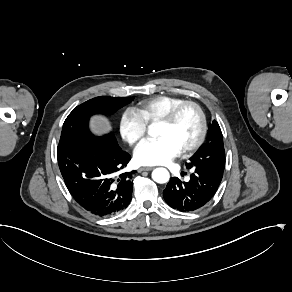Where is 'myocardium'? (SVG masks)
Here are the masks:
<instances>
[{"label":"myocardium","instance_id":"1","mask_svg":"<svg viewBox=\"0 0 292 292\" xmlns=\"http://www.w3.org/2000/svg\"><path fill=\"white\" fill-rule=\"evenodd\" d=\"M185 107H192L196 111L199 118V129H198V133L195 140L191 144L181 149V152L186 154L199 148L205 138L206 128H207L206 118L200 105L194 101H188V100L179 102L173 105L172 107H170L163 115H161L157 119V122H160L163 124L172 123L176 119L179 112Z\"/></svg>","mask_w":292,"mask_h":292}]
</instances>
